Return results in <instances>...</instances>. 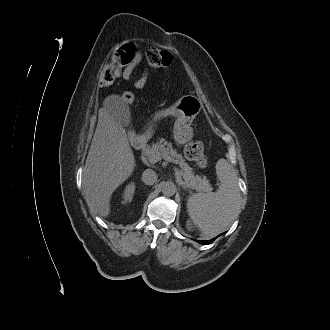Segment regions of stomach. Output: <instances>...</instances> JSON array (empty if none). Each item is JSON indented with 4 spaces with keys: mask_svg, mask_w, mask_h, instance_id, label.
Here are the masks:
<instances>
[{
    "mask_svg": "<svg viewBox=\"0 0 330 330\" xmlns=\"http://www.w3.org/2000/svg\"><path fill=\"white\" fill-rule=\"evenodd\" d=\"M203 108L202 102L194 95L181 97L167 113L175 116L173 135L179 145L190 142L193 138L192 120L200 113ZM148 132H151L149 129Z\"/></svg>",
    "mask_w": 330,
    "mask_h": 330,
    "instance_id": "1",
    "label": "stomach"
}]
</instances>
